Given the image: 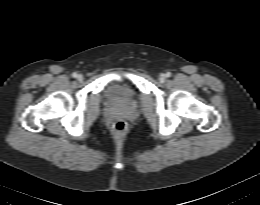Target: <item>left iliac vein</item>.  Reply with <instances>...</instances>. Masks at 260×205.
<instances>
[{
  "instance_id": "obj_1",
  "label": "left iliac vein",
  "mask_w": 260,
  "mask_h": 205,
  "mask_svg": "<svg viewBox=\"0 0 260 205\" xmlns=\"http://www.w3.org/2000/svg\"><path fill=\"white\" fill-rule=\"evenodd\" d=\"M165 78H166L165 74H161V75L159 76L160 82H164V81H165Z\"/></svg>"
}]
</instances>
